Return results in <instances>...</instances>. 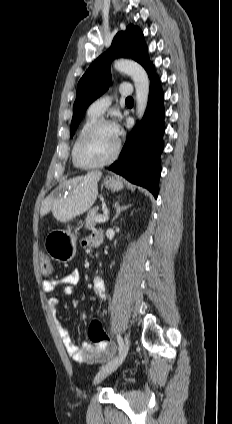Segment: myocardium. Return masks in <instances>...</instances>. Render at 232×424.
Here are the masks:
<instances>
[{
	"mask_svg": "<svg viewBox=\"0 0 232 424\" xmlns=\"http://www.w3.org/2000/svg\"><path fill=\"white\" fill-rule=\"evenodd\" d=\"M103 126H112V123L109 120H106V119H97L84 131V133L78 139L76 146H75V149H74V157H75L77 165L80 168L91 169V168L102 167V166H105V165L112 163L118 157L120 150H121V141H120L119 138H117L116 146H115L113 153L104 160H101L99 162L89 163V162H86L81 156V148L84 145V143L99 128H101Z\"/></svg>",
	"mask_w": 232,
	"mask_h": 424,
	"instance_id": "obj_1",
	"label": "myocardium"
}]
</instances>
